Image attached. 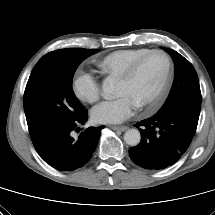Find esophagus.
Instances as JSON below:
<instances>
[{
  "label": "esophagus",
  "mask_w": 215,
  "mask_h": 215,
  "mask_svg": "<svg viewBox=\"0 0 215 215\" xmlns=\"http://www.w3.org/2000/svg\"><path fill=\"white\" fill-rule=\"evenodd\" d=\"M111 128L113 129V130H120V131H126L127 129H128V127H126V126H111Z\"/></svg>",
  "instance_id": "34e87169"
}]
</instances>
